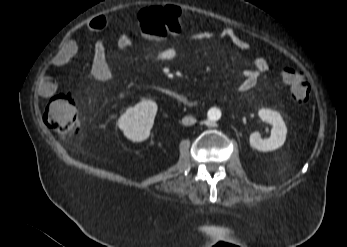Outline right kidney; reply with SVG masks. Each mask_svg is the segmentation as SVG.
I'll return each instance as SVG.
<instances>
[{
  "mask_svg": "<svg viewBox=\"0 0 347 247\" xmlns=\"http://www.w3.org/2000/svg\"><path fill=\"white\" fill-rule=\"evenodd\" d=\"M157 108L154 101L143 100L121 115L118 126L133 142L144 141L149 137Z\"/></svg>",
  "mask_w": 347,
  "mask_h": 247,
  "instance_id": "obj_1",
  "label": "right kidney"
}]
</instances>
